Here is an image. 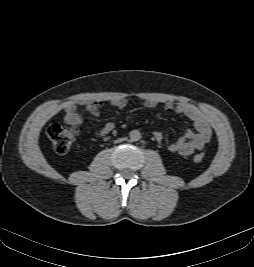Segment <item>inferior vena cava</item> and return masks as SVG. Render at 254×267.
<instances>
[{
  "mask_svg": "<svg viewBox=\"0 0 254 267\" xmlns=\"http://www.w3.org/2000/svg\"><path fill=\"white\" fill-rule=\"evenodd\" d=\"M123 140H124L123 138H120V139H117L115 142H121Z\"/></svg>",
  "mask_w": 254,
  "mask_h": 267,
  "instance_id": "obj_1",
  "label": "inferior vena cava"
}]
</instances>
